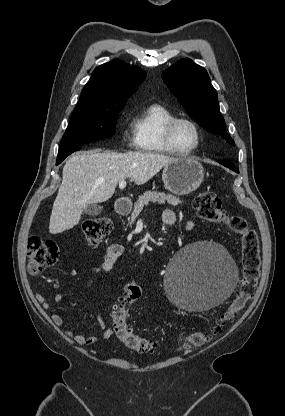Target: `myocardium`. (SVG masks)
<instances>
[{
  "instance_id": "myocardium-1",
  "label": "myocardium",
  "mask_w": 285,
  "mask_h": 416,
  "mask_svg": "<svg viewBox=\"0 0 285 416\" xmlns=\"http://www.w3.org/2000/svg\"><path fill=\"white\" fill-rule=\"evenodd\" d=\"M180 122H186L190 124L196 133V138H197L196 145L189 150H181L177 148L174 143V139H173L174 128ZM164 141L168 150L171 153L178 155V156H189V155L195 154L201 146V143H202L201 129L199 125L193 119L186 117V116H175L171 120H169L167 124L165 125Z\"/></svg>"
}]
</instances>
